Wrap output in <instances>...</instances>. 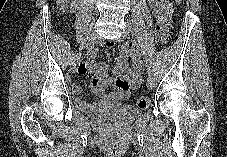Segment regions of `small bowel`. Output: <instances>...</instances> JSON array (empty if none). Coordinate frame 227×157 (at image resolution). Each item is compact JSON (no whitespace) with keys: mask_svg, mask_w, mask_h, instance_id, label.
<instances>
[{"mask_svg":"<svg viewBox=\"0 0 227 157\" xmlns=\"http://www.w3.org/2000/svg\"><path fill=\"white\" fill-rule=\"evenodd\" d=\"M147 1L153 14L162 17L164 22H166L172 13L171 2L169 0ZM109 46H112V44H109ZM128 59L131 60V67H129ZM143 68L140 52L133 42L128 43L122 48L114 68V76L108 75V66L106 63L97 62L93 58L80 63L77 72L89 76L91 88L100 100L92 103L84 101L80 96L81 87L79 85H73L71 90L76 95L75 103L77 107L85 112H94L110 103H118L127 99L130 92L139 85ZM107 87H113L114 91L107 94L105 91Z\"/></svg>","mask_w":227,"mask_h":157,"instance_id":"1","label":"small bowel"}]
</instances>
